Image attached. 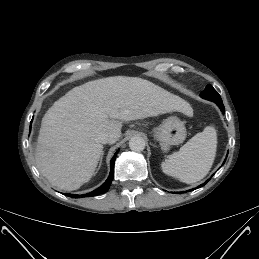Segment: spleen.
<instances>
[{
	"label": "spleen",
	"instance_id": "obj_1",
	"mask_svg": "<svg viewBox=\"0 0 259 259\" xmlns=\"http://www.w3.org/2000/svg\"><path fill=\"white\" fill-rule=\"evenodd\" d=\"M217 150V133L207 126L197 133L178 152L171 154L162 164V171L179 181L192 184L203 179L210 171Z\"/></svg>",
	"mask_w": 259,
	"mask_h": 259
}]
</instances>
